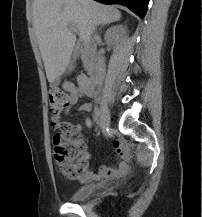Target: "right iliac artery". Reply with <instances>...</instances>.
I'll list each match as a JSON object with an SVG mask.
<instances>
[{
    "mask_svg": "<svg viewBox=\"0 0 202 217\" xmlns=\"http://www.w3.org/2000/svg\"><path fill=\"white\" fill-rule=\"evenodd\" d=\"M96 112V123H97V125L98 126H100V114H101V111L98 109V108H96V110H95Z\"/></svg>",
    "mask_w": 202,
    "mask_h": 217,
    "instance_id": "right-iliac-artery-1",
    "label": "right iliac artery"
}]
</instances>
